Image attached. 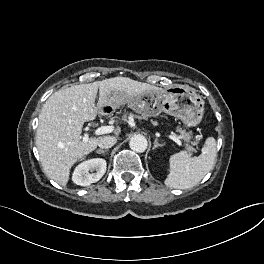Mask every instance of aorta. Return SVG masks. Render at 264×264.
<instances>
[{
  "label": "aorta",
  "mask_w": 264,
  "mask_h": 264,
  "mask_svg": "<svg viewBox=\"0 0 264 264\" xmlns=\"http://www.w3.org/2000/svg\"><path fill=\"white\" fill-rule=\"evenodd\" d=\"M130 148L135 152H144L147 149V139L140 134L134 135L129 142Z\"/></svg>",
  "instance_id": "762f6f07"
}]
</instances>
